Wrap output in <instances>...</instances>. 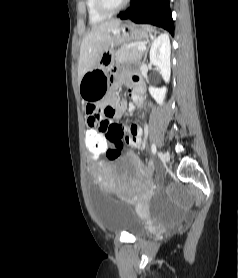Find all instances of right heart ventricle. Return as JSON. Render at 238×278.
I'll return each instance as SVG.
<instances>
[{"label":"right heart ventricle","mask_w":238,"mask_h":278,"mask_svg":"<svg viewBox=\"0 0 238 278\" xmlns=\"http://www.w3.org/2000/svg\"><path fill=\"white\" fill-rule=\"evenodd\" d=\"M86 1V9L88 14V19L92 24H98L104 21L107 16L99 13L95 6V0H85Z\"/></svg>","instance_id":"1"}]
</instances>
